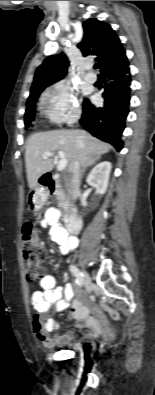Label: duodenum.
<instances>
[{"label":"duodenum","instance_id":"duodenum-1","mask_svg":"<svg viewBox=\"0 0 155 395\" xmlns=\"http://www.w3.org/2000/svg\"><path fill=\"white\" fill-rule=\"evenodd\" d=\"M42 184L51 192L55 190L56 182L52 175H46ZM65 223L71 233H77L82 228V220L75 209H71L65 215Z\"/></svg>","mask_w":155,"mask_h":395}]
</instances>
